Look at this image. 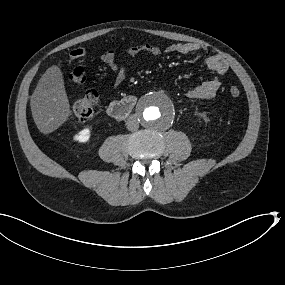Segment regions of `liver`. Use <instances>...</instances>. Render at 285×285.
Wrapping results in <instances>:
<instances>
[{
    "mask_svg": "<svg viewBox=\"0 0 285 285\" xmlns=\"http://www.w3.org/2000/svg\"><path fill=\"white\" fill-rule=\"evenodd\" d=\"M30 106L34 122L43 134L55 131L67 120L70 105L58 66H51L42 75L31 96Z\"/></svg>",
    "mask_w": 285,
    "mask_h": 285,
    "instance_id": "liver-1",
    "label": "liver"
}]
</instances>
